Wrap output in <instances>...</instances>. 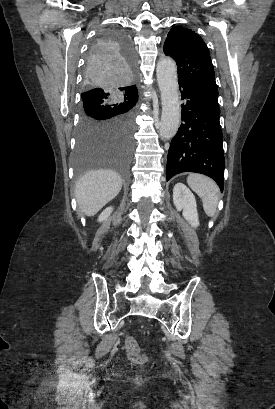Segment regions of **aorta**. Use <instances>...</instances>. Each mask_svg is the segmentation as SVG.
Wrapping results in <instances>:
<instances>
[{
    "instance_id": "aorta-1",
    "label": "aorta",
    "mask_w": 275,
    "mask_h": 409,
    "mask_svg": "<svg viewBox=\"0 0 275 409\" xmlns=\"http://www.w3.org/2000/svg\"><path fill=\"white\" fill-rule=\"evenodd\" d=\"M156 74L162 104L160 136L162 140H170L172 136H175L179 128L181 118L175 60L170 56L159 58Z\"/></svg>"
}]
</instances>
